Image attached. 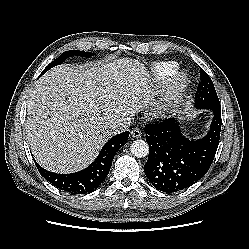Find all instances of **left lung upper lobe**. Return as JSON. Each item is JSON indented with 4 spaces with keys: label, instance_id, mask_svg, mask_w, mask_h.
<instances>
[{
    "label": "left lung upper lobe",
    "instance_id": "5c2ea615",
    "mask_svg": "<svg viewBox=\"0 0 249 249\" xmlns=\"http://www.w3.org/2000/svg\"><path fill=\"white\" fill-rule=\"evenodd\" d=\"M195 106L198 109H214L220 107L213 82L203 69H200V82L195 95Z\"/></svg>",
    "mask_w": 249,
    "mask_h": 249
}]
</instances>
